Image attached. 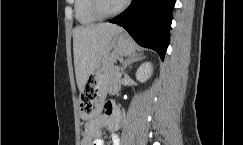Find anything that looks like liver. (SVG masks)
<instances>
[{
    "mask_svg": "<svg viewBox=\"0 0 243 145\" xmlns=\"http://www.w3.org/2000/svg\"><path fill=\"white\" fill-rule=\"evenodd\" d=\"M123 28L110 23L76 26L73 30V52L76 81L82 92L89 75L96 69L110 47L112 38Z\"/></svg>",
    "mask_w": 243,
    "mask_h": 145,
    "instance_id": "1",
    "label": "liver"
}]
</instances>
